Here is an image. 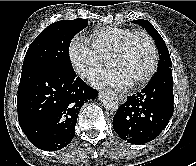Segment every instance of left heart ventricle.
I'll return each mask as SVG.
<instances>
[{"label":"left heart ventricle","mask_w":196,"mask_h":166,"mask_svg":"<svg viewBox=\"0 0 196 166\" xmlns=\"http://www.w3.org/2000/svg\"><path fill=\"white\" fill-rule=\"evenodd\" d=\"M152 62V50L144 36L134 37L126 53L113 63V68L131 83L141 78L149 69Z\"/></svg>","instance_id":"b2bd125f"}]
</instances>
